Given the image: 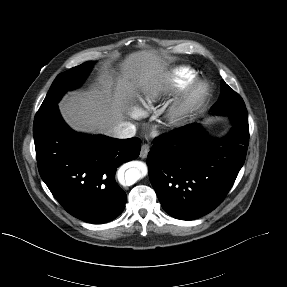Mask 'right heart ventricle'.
<instances>
[{
    "instance_id": "1",
    "label": "right heart ventricle",
    "mask_w": 287,
    "mask_h": 287,
    "mask_svg": "<svg viewBox=\"0 0 287 287\" xmlns=\"http://www.w3.org/2000/svg\"><path fill=\"white\" fill-rule=\"evenodd\" d=\"M195 77V72L187 67L174 69L162 84L144 94L141 99L143 106L150 109L155 103L163 100L170 94L185 88L195 79Z\"/></svg>"
}]
</instances>
